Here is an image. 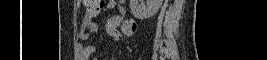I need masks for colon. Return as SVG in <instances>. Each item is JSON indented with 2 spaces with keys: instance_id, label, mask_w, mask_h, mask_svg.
Returning <instances> with one entry per match:
<instances>
[{
  "instance_id": "5ec220e1",
  "label": "colon",
  "mask_w": 267,
  "mask_h": 60,
  "mask_svg": "<svg viewBox=\"0 0 267 60\" xmlns=\"http://www.w3.org/2000/svg\"><path fill=\"white\" fill-rule=\"evenodd\" d=\"M86 16L96 17L104 11V0H85ZM130 29H135L136 24L132 23Z\"/></svg>"
}]
</instances>
